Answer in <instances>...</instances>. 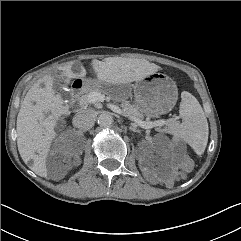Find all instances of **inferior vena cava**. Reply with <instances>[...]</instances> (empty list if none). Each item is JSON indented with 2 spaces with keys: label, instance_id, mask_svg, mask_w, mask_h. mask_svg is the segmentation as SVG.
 <instances>
[{
  "label": "inferior vena cava",
  "instance_id": "1",
  "mask_svg": "<svg viewBox=\"0 0 241 241\" xmlns=\"http://www.w3.org/2000/svg\"><path fill=\"white\" fill-rule=\"evenodd\" d=\"M97 113L93 109H85L77 112L73 118V124L76 128L82 130L91 129L96 121Z\"/></svg>",
  "mask_w": 241,
  "mask_h": 241
}]
</instances>
